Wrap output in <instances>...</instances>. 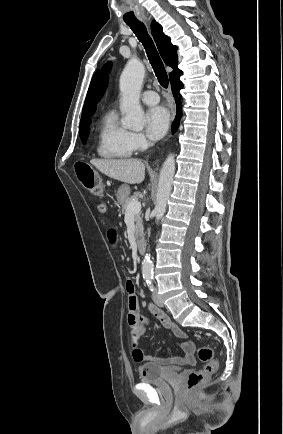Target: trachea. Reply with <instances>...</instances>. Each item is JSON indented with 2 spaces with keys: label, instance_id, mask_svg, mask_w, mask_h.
Segmentation results:
<instances>
[{
  "label": "trachea",
  "instance_id": "obj_1",
  "mask_svg": "<svg viewBox=\"0 0 283 434\" xmlns=\"http://www.w3.org/2000/svg\"><path fill=\"white\" fill-rule=\"evenodd\" d=\"M127 25L132 29L139 41L144 46L150 64L155 72V75L160 85L164 88H167L169 83L168 75L166 73L163 62L158 54V51L154 45V42L147 32L145 25L140 21L127 23Z\"/></svg>",
  "mask_w": 283,
  "mask_h": 434
}]
</instances>
